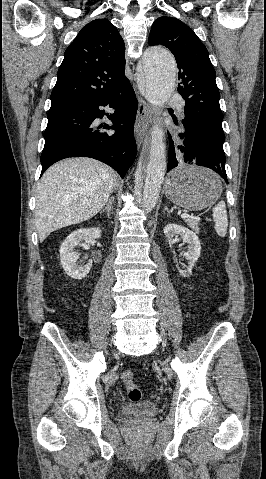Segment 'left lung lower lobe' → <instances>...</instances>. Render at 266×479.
<instances>
[{"label": "left lung lower lobe", "instance_id": "0a47b994", "mask_svg": "<svg viewBox=\"0 0 266 479\" xmlns=\"http://www.w3.org/2000/svg\"><path fill=\"white\" fill-rule=\"evenodd\" d=\"M178 137L180 139L174 142L169 134L167 172L182 163L196 164L214 170L228 183L225 171L226 159L209 160L205 148L197 141L194 135L186 132L183 127H181Z\"/></svg>", "mask_w": 266, "mask_h": 479}]
</instances>
